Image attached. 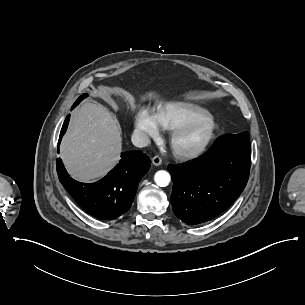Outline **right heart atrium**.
I'll return each mask as SVG.
<instances>
[{
    "label": "right heart atrium",
    "instance_id": "right-heart-atrium-1",
    "mask_svg": "<svg viewBox=\"0 0 305 305\" xmlns=\"http://www.w3.org/2000/svg\"><path fill=\"white\" fill-rule=\"evenodd\" d=\"M135 128L141 134L154 137L158 134L159 126L155 115L146 110H141L136 117Z\"/></svg>",
    "mask_w": 305,
    "mask_h": 305
}]
</instances>
